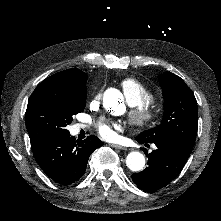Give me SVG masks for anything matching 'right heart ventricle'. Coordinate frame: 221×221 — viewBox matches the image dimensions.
<instances>
[{
  "label": "right heart ventricle",
  "mask_w": 221,
  "mask_h": 221,
  "mask_svg": "<svg viewBox=\"0 0 221 221\" xmlns=\"http://www.w3.org/2000/svg\"><path fill=\"white\" fill-rule=\"evenodd\" d=\"M156 96V91L144 85H140L139 91L136 95L130 98L135 107L147 104L151 99Z\"/></svg>",
  "instance_id": "1"
}]
</instances>
